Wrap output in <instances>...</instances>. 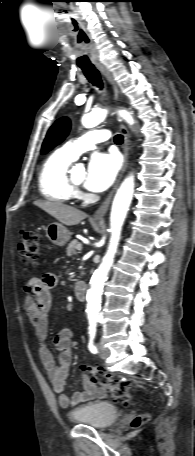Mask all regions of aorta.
Returning <instances> with one entry per match:
<instances>
[{
	"instance_id": "762f6f07",
	"label": "aorta",
	"mask_w": 195,
	"mask_h": 456,
	"mask_svg": "<svg viewBox=\"0 0 195 456\" xmlns=\"http://www.w3.org/2000/svg\"><path fill=\"white\" fill-rule=\"evenodd\" d=\"M119 114L126 120L128 124H134V119L131 113L126 110H121L119 111ZM106 115V109H94L92 112L82 117V125L86 128L95 127L105 119ZM133 192L134 175L130 174L121 183L112 203L109 229L111 237L109 246L102 260V263L91 278V287L87 294L88 304L86 312L89 319L96 318L101 309L103 286L107 279L109 270L113 264L114 256L117 252L122 226L132 201Z\"/></svg>"
}]
</instances>
